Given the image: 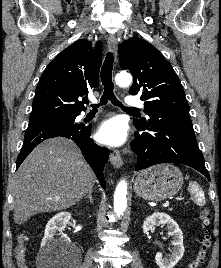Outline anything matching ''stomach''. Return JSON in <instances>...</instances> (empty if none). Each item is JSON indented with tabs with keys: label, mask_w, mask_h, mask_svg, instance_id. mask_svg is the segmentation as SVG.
<instances>
[{
	"label": "stomach",
	"mask_w": 221,
	"mask_h": 268,
	"mask_svg": "<svg viewBox=\"0 0 221 268\" xmlns=\"http://www.w3.org/2000/svg\"><path fill=\"white\" fill-rule=\"evenodd\" d=\"M183 184L181 171L172 164H159L140 172L134 181L135 193L160 201L175 195Z\"/></svg>",
	"instance_id": "obj_1"
}]
</instances>
